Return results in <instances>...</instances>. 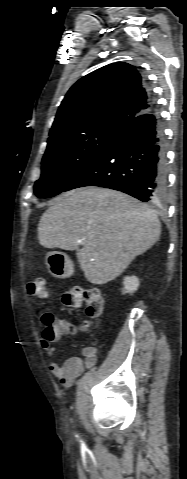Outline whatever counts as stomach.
Wrapping results in <instances>:
<instances>
[{"label": "stomach", "mask_w": 187, "mask_h": 479, "mask_svg": "<svg viewBox=\"0 0 187 479\" xmlns=\"http://www.w3.org/2000/svg\"><path fill=\"white\" fill-rule=\"evenodd\" d=\"M45 261L48 271L56 278H68L73 274V263L63 252H48Z\"/></svg>", "instance_id": "obj_1"}]
</instances>
